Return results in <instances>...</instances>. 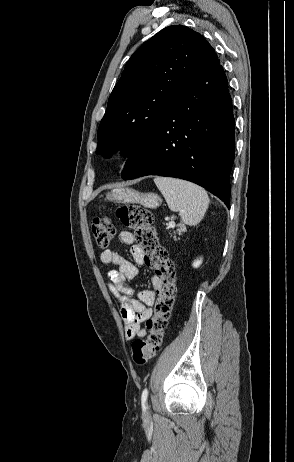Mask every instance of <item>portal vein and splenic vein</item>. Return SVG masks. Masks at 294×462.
I'll return each mask as SVG.
<instances>
[{"instance_id": "portal-vein-and-splenic-vein-1", "label": "portal vein and splenic vein", "mask_w": 294, "mask_h": 462, "mask_svg": "<svg viewBox=\"0 0 294 462\" xmlns=\"http://www.w3.org/2000/svg\"><path fill=\"white\" fill-rule=\"evenodd\" d=\"M169 226L174 227V226H175V223H174V222H170V223H169Z\"/></svg>"}]
</instances>
